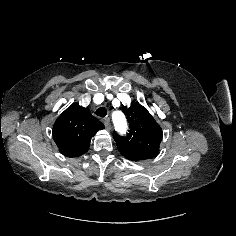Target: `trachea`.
<instances>
[{
    "label": "trachea",
    "instance_id": "trachea-1",
    "mask_svg": "<svg viewBox=\"0 0 236 236\" xmlns=\"http://www.w3.org/2000/svg\"><path fill=\"white\" fill-rule=\"evenodd\" d=\"M95 114L99 117H105L107 115V109L105 107L99 108Z\"/></svg>",
    "mask_w": 236,
    "mask_h": 236
}]
</instances>
